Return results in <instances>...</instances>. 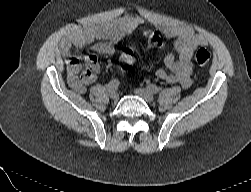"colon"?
I'll return each instance as SVG.
<instances>
[{"label":"colon","mask_w":251,"mask_h":192,"mask_svg":"<svg viewBox=\"0 0 251 192\" xmlns=\"http://www.w3.org/2000/svg\"><path fill=\"white\" fill-rule=\"evenodd\" d=\"M143 44L148 48H157L162 45V38L158 33H148L143 38ZM211 54L205 48H200L195 53V62L199 66L206 65L210 60ZM135 57L130 49H125L120 55V64L123 70H128L133 66Z\"/></svg>","instance_id":"colon-1"}]
</instances>
